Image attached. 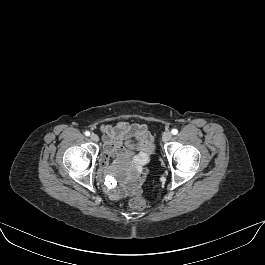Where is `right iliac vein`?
Segmentation results:
<instances>
[{
    "label": "right iliac vein",
    "instance_id": "obj_1",
    "mask_svg": "<svg viewBox=\"0 0 265 265\" xmlns=\"http://www.w3.org/2000/svg\"><path fill=\"white\" fill-rule=\"evenodd\" d=\"M90 139L92 141H94V142H97L99 140V137L96 134L93 133V134L90 135Z\"/></svg>",
    "mask_w": 265,
    "mask_h": 265
}]
</instances>
